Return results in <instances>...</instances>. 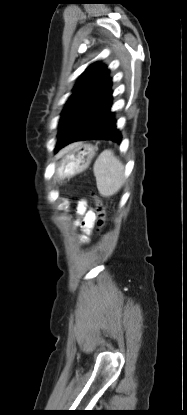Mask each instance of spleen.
Listing matches in <instances>:
<instances>
[{
    "instance_id": "obj_1",
    "label": "spleen",
    "mask_w": 187,
    "mask_h": 415,
    "mask_svg": "<svg viewBox=\"0 0 187 415\" xmlns=\"http://www.w3.org/2000/svg\"><path fill=\"white\" fill-rule=\"evenodd\" d=\"M93 171L102 196H113L121 189L124 183V166L111 150H105L99 155Z\"/></svg>"
}]
</instances>
